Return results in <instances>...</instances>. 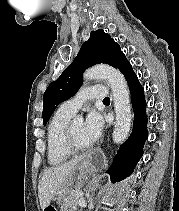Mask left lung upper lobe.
<instances>
[{"instance_id":"1","label":"left lung upper lobe","mask_w":179,"mask_h":211,"mask_svg":"<svg viewBox=\"0 0 179 211\" xmlns=\"http://www.w3.org/2000/svg\"><path fill=\"white\" fill-rule=\"evenodd\" d=\"M125 57L120 46L109 34L99 29L90 33L72 64L52 82L43 96V124L45 125L55 108L72 97L82 84V74L88 67L106 63L117 68Z\"/></svg>"}]
</instances>
